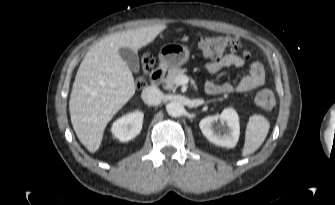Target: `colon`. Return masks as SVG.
I'll use <instances>...</instances> for the list:
<instances>
[{
	"instance_id": "colon-1",
	"label": "colon",
	"mask_w": 335,
	"mask_h": 205,
	"mask_svg": "<svg viewBox=\"0 0 335 205\" xmlns=\"http://www.w3.org/2000/svg\"><path fill=\"white\" fill-rule=\"evenodd\" d=\"M198 47L202 54L209 59H220L226 53L237 52L242 50L243 46L240 40L232 36H215V37H202L198 41ZM247 56L248 52L244 51ZM153 58L146 54L141 60L142 75L136 79L138 87H143L146 84L145 74H147L152 66ZM256 103L263 109H272L275 106V97L271 90L263 89L256 95Z\"/></svg>"
}]
</instances>
